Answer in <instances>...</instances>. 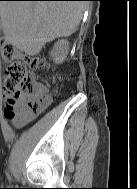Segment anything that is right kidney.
Returning <instances> with one entry per match:
<instances>
[{
  "label": "right kidney",
  "mask_w": 137,
  "mask_h": 189,
  "mask_svg": "<svg viewBox=\"0 0 137 189\" xmlns=\"http://www.w3.org/2000/svg\"><path fill=\"white\" fill-rule=\"evenodd\" d=\"M69 51V42L67 40H60L53 46V49L50 51V57L56 64L62 63Z\"/></svg>",
  "instance_id": "ca27d5eb"
}]
</instances>
